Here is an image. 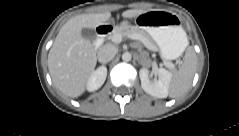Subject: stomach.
<instances>
[{"mask_svg": "<svg viewBox=\"0 0 239 136\" xmlns=\"http://www.w3.org/2000/svg\"><path fill=\"white\" fill-rule=\"evenodd\" d=\"M135 20L138 28L157 44L163 59L175 60L185 50L186 33L174 14L155 10L144 12Z\"/></svg>", "mask_w": 239, "mask_h": 136, "instance_id": "1", "label": "stomach"}]
</instances>
